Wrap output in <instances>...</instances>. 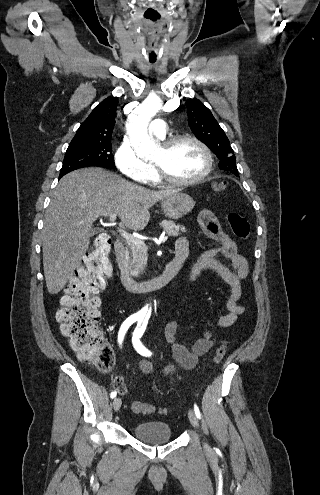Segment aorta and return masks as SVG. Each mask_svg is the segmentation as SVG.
<instances>
[{"mask_svg":"<svg viewBox=\"0 0 320 495\" xmlns=\"http://www.w3.org/2000/svg\"><path fill=\"white\" fill-rule=\"evenodd\" d=\"M162 105L159 98L149 97L128 116L127 132L135 152L142 158L155 156L159 151L158 144L148 134V125Z\"/></svg>","mask_w":320,"mask_h":495,"instance_id":"aorta-1","label":"aorta"}]
</instances>
